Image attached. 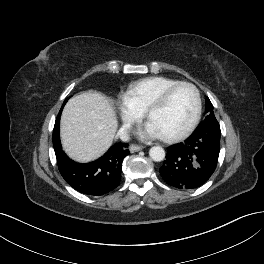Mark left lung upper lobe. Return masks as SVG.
<instances>
[{"label":"left lung upper lobe","mask_w":264,"mask_h":264,"mask_svg":"<svg viewBox=\"0 0 264 264\" xmlns=\"http://www.w3.org/2000/svg\"><path fill=\"white\" fill-rule=\"evenodd\" d=\"M206 113H207V117L205 118V121L212 120V121L218 122L215 118V115L213 112V105L211 101L209 100V98H206Z\"/></svg>","instance_id":"1"}]
</instances>
